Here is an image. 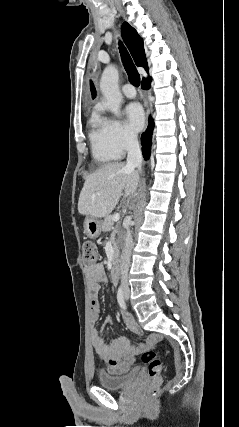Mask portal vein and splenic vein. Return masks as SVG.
Instances as JSON below:
<instances>
[{
    "instance_id": "1",
    "label": "portal vein and splenic vein",
    "mask_w": 239,
    "mask_h": 427,
    "mask_svg": "<svg viewBox=\"0 0 239 427\" xmlns=\"http://www.w3.org/2000/svg\"><path fill=\"white\" fill-rule=\"evenodd\" d=\"M120 219V216L118 214H115L112 216L113 221H118Z\"/></svg>"
}]
</instances>
